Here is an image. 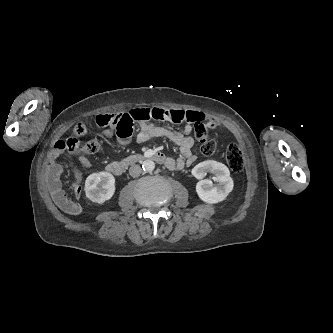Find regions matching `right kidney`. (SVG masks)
<instances>
[{
	"label": "right kidney",
	"instance_id": "right-kidney-1",
	"mask_svg": "<svg viewBox=\"0 0 333 333\" xmlns=\"http://www.w3.org/2000/svg\"><path fill=\"white\" fill-rule=\"evenodd\" d=\"M84 190L90 201L103 204L114 195L115 178L108 172L93 173L87 177Z\"/></svg>",
	"mask_w": 333,
	"mask_h": 333
}]
</instances>
